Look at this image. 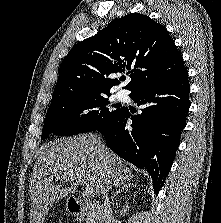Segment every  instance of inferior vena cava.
<instances>
[{
	"mask_svg": "<svg viewBox=\"0 0 221 223\" xmlns=\"http://www.w3.org/2000/svg\"><path fill=\"white\" fill-rule=\"evenodd\" d=\"M102 215H103L104 223H111L112 210H111V205H110L107 191L104 192V204H103Z\"/></svg>",
	"mask_w": 221,
	"mask_h": 223,
	"instance_id": "obj_1",
	"label": "inferior vena cava"
}]
</instances>
